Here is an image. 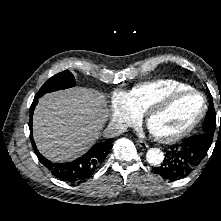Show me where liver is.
<instances>
[{"label": "liver", "mask_w": 221, "mask_h": 221, "mask_svg": "<svg viewBox=\"0 0 221 221\" xmlns=\"http://www.w3.org/2000/svg\"><path fill=\"white\" fill-rule=\"evenodd\" d=\"M105 96L77 87L44 95L33 115L34 140L54 162L85 153L98 139L107 118Z\"/></svg>", "instance_id": "1"}]
</instances>
